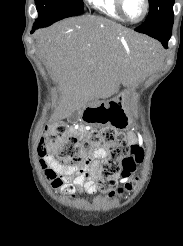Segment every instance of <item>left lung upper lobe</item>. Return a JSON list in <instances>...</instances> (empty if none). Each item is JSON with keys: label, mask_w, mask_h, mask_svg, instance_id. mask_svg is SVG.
<instances>
[{"label": "left lung upper lobe", "mask_w": 183, "mask_h": 246, "mask_svg": "<svg viewBox=\"0 0 183 246\" xmlns=\"http://www.w3.org/2000/svg\"><path fill=\"white\" fill-rule=\"evenodd\" d=\"M149 4V14L136 31L148 34L173 25L174 0H149Z\"/></svg>", "instance_id": "left-lung-upper-lobe-1"}]
</instances>
